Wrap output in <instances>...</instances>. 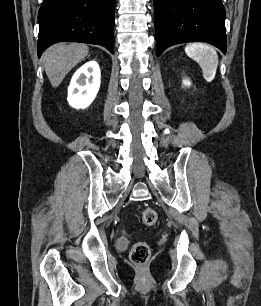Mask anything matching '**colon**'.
I'll use <instances>...</instances> for the list:
<instances>
[{
    "label": "colon",
    "instance_id": "colon-1",
    "mask_svg": "<svg viewBox=\"0 0 261 306\" xmlns=\"http://www.w3.org/2000/svg\"><path fill=\"white\" fill-rule=\"evenodd\" d=\"M140 217L144 225L152 227L157 223L158 215L152 208H145L141 211ZM131 260L136 265H144L150 256V248L147 243L140 241L131 249Z\"/></svg>",
    "mask_w": 261,
    "mask_h": 306
}]
</instances>
